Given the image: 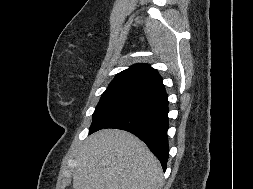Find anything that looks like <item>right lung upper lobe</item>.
<instances>
[{
    "label": "right lung upper lobe",
    "mask_w": 253,
    "mask_h": 189,
    "mask_svg": "<svg viewBox=\"0 0 253 189\" xmlns=\"http://www.w3.org/2000/svg\"><path fill=\"white\" fill-rule=\"evenodd\" d=\"M163 87L162 78L155 69L147 64H136L118 73L108 88H130L150 93Z\"/></svg>",
    "instance_id": "right-lung-upper-lobe-1"
}]
</instances>
